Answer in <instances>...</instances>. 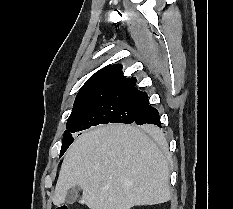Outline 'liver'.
Segmentation results:
<instances>
[{"label":"liver","instance_id":"6515ba94","mask_svg":"<svg viewBox=\"0 0 233 209\" xmlns=\"http://www.w3.org/2000/svg\"><path fill=\"white\" fill-rule=\"evenodd\" d=\"M148 132L159 135L153 127ZM169 165L157 144L134 125L109 124L83 133L67 150L52 201L79 186L90 209H130L171 199Z\"/></svg>","mask_w":233,"mask_h":209}]
</instances>
